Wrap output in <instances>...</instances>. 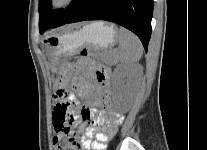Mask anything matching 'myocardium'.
<instances>
[{"mask_svg":"<svg viewBox=\"0 0 207 150\" xmlns=\"http://www.w3.org/2000/svg\"><path fill=\"white\" fill-rule=\"evenodd\" d=\"M75 2L76 0H50L49 7L52 11H61L70 7Z\"/></svg>","mask_w":207,"mask_h":150,"instance_id":"1","label":"myocardium"}]
</instances>
